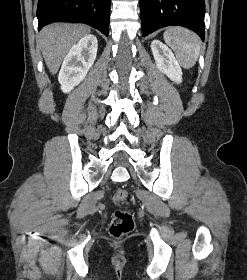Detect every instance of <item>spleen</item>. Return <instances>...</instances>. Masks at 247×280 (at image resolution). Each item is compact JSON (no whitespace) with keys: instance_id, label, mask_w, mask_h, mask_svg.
Listing matches in <instances>:
<instances>
[{"instance_id":"1","label":"spleen","mask_w":247,"mask_h":280,"mask_svg":"<svg viewBox=\"0 0 247 280\" xmlns=\"http://www.w3.org/2000/svg\"><path fill=\"white\" fill-rule=\"evenodd\" d=\"M164 41L174 51L178 62L185 69L193 67L200 54V38L182 27H169L163 34Z\"/></svg>"}]
</instances>
